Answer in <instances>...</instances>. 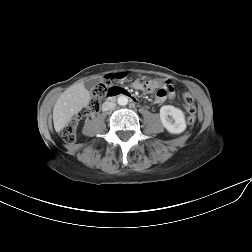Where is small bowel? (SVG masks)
I'll use <instances>...</instances> for the list:
<instances>
[{
	"mask_svg": "<svg viewBox=\"0 0 252 252\" xmlns=\"http://www.w3.org/2000/svg\"><path fill=\"white\" fill-rule=\"evenodd\" d=\"M149 88H144L140 82V80H136L132 83V87L134 89L143 90L146 92H151L156 90V102L162 103L167 98L172 99L175 96V90L173 85L168 80H149Z\"/></svg>",
	"mask_w": 252,
	"mask_h": 252,
	"instance_id": "obj_1",
	"label": "small bowel"
}]
</instances>
